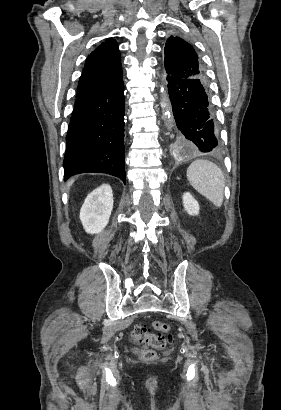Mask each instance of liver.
I'll return each mask as SVG.
<instances>
[{
  "label": "liver",
  "mask_w": 281,
  "mask_h": 410,
  "mask_svg": "<svg viewBox=\"0 0 281 410\" xmlns=\"http://www.w3.org/2000/svg\"><path fill=\"white\" fill-rule=\"evenodd\" d=\"M72 183H73V180L68 182V186L72 185Z\"/></svg>",
  "instance_id": "1"
}]
</instances>
